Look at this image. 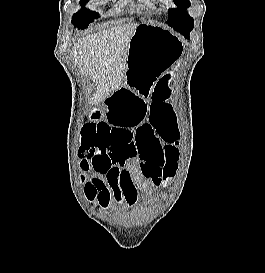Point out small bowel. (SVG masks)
<instances>
[{"label": "small bowel", "mask_w": 265, "mask_h": 273, "mask_svg": "<svg viewBox=\"0 0 265 273\" xmlns=\"http://www.w3.org/2000/svg\"><path fill=\"white\" fill-rule=\"evenodd\" d=\"M146 108L142 95L119 91L106 100L103 110H93L94 122L100 119L97 124L82 125L83 129H108L110 144L101 154L104 162L97 163L92 155L82 156L83 166L95 173L90 183L93 197L104 209L113 201L134 207L138 202L134 181L161 183L167 143L158 138L159 132L150 128L148 121H143Z\"/></svg>", "instance_id": "small-bowel-1"}]
</instances>
